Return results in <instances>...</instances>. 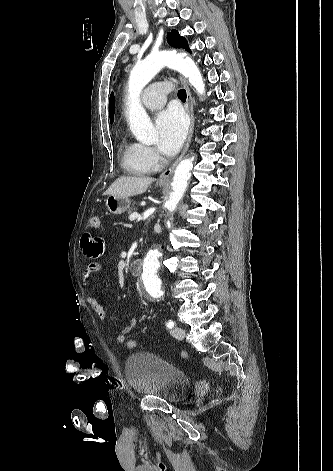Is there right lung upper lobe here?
<instances>
[{"instance_id":"1","label":"right lung upper lobe","mask_w":333,"mask_h":471,"mask_svg":"<svg viewBox=\"0 0 333 471\" xmlns=\"http://www.w3.org/2000/svg\"><path fill=\"white\" fill-rule=\"evenodd\" d=\"M109 116H110V122L113 123L114 121V94L113 92L111 93V96L109 99Z\"/></svg>"}]
</instances>
